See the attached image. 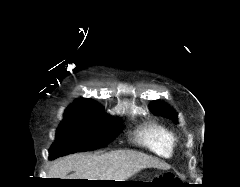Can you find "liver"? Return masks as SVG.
<instances>
[{
	"mask_svg": "<svg viewBox=\"0 0 240 187\" xmlns=\"http://www.w3.org/2000/svg\"><path fill=\"white\" fill-rule=\"evenodd\" d=\"M166 169L158 159L132 150L101 155L76 153L54 161L49 178L125 181L145 168ZM74 172L70 176L68 173Z\"/></svg>",
	"mask_w": 240,
	"mask_h": 187,
	"instance_id": "liver-1",
	"label": "liver"
}]
</instances>
